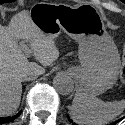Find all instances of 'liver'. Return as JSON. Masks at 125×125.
<instances>
[{"label": "liver", "instance_id": "1", "mask_svg": "<svg viewBox=\"0 0 125 125\" xmlns=\"http://www.w3.org/2000/svg\"><path fill=\"white\" fill-rule=\"evenodd\" d=\"M29 42L35 59L48 66L59 57L53 39L46 38L31 21L28 12H20L11 18L8 26L0 24V117L16 112L22 94V75L35 72L41 75L45 69L29 62L18 40Z\"/></svg>", "mask_w": 125, "mask_h": 125}]
</instances>
